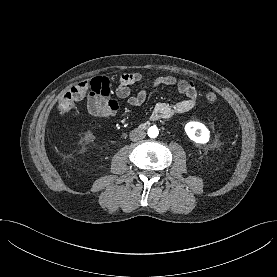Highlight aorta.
Masks as SVG:
<instances>
[{"label": "aorta", "instance_id": "1", "mask_svg": "<svg viewBox=\"0 0 277 277\" xmlns=\"http://www.w3.org/2000/svg\"><path fill=\"white\" fill-rule=\"evenodd\" d=\"M159 134L158 128L156 126H151L148 129V136L151 138H156Z\"/></svg>", "mask_w": 277, "mask_h": 277}]
</instances>
